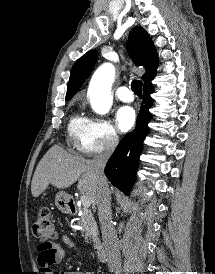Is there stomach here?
<instances>
[{
    "label": "stomach",
    "instance_id": "1",
    "mask_svg": "<svg viewBox=\"0 0 215 274\" xmlns=\"http://www.w3.org/2000/svg\"><path fill=\"white\" fill-rule=\"evenodd\" d=\"M69 200L70 196L66 192L60 191L55 197V205L60 211L67 212L69 209Z\"/></svg>",
    "mask_w": 215,
    "mask_h": 274
}]
</instances>
